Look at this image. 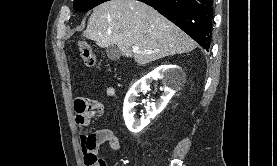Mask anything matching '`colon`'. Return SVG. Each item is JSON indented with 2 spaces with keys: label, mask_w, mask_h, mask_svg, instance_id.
<instances>
[{
  "label": "colon",
  "mask_w": 277,
  "mask_h": 166,
  "mask_svg": "<svg viewBox=\"0 0 277 166\" xmlns=\"http://www.w3.org/2000/svg\"><path fill=\"white\" fill-rule=\"evenodd\" d=\"M78 48L84 64L87 67H93L96 63V58L90 46L84 41H79ZM91 162L95 166H106L105 162L102 159H98L97 157H92Z\"/></svg>",
  "instance_id": "obj_1"
}]
</instances>
